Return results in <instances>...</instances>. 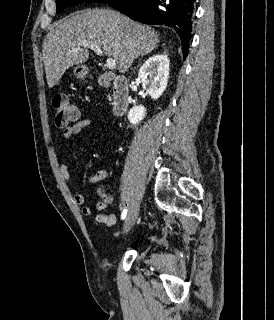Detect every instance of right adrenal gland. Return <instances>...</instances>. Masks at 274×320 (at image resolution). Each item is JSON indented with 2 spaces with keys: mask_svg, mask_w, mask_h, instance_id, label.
Wrapping results in <instances>:
<instances>
[{
  "mask_svg": "<svg viewBox=\"0 0 274 320\" xmlns=\"http://www.w3.org/2000/svg\"><path fill=\"white\" fill-rule=\"evenodd\" d=\"M147 54H149V52H147ZM147 54H142L141 58H143V56H147Z\"/></svg>",
  "mask_w": 274,
  "mask_h": 320,
  "instance_id": "right-adrenal-gland-1",
  "label": "right adrenal gland"
}]
</instances>
